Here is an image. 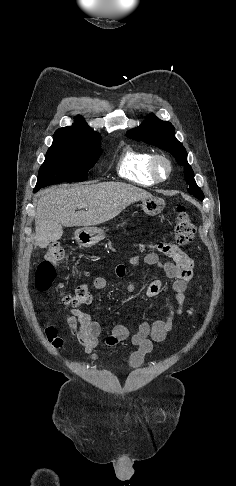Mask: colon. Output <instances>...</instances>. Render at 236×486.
<instances>
[{"label": "colon", "mask_w": 236, "mask_h": 486, "mask_svg": "<svg viewBox=\"0 0 236 486\" xmlns=\"http://www.w3.org/2000/svg\"><path fill=\"white\" fill-rule=\"evenodd\" d=\"M195 235V225L190 215L185 211L183 206L178 207V215L174 227V242L177 245H186L190 243ZM66 257V252L60 244L53 243L48 246L45 252L44 260L40 262L36 272V287L40 291L48 290L56 276L57 264L63 261ZM91 293L87 285H79L74 294H65L62 297V302L70 307H79L89 304L91 302ZM46 334L50 341L55 346L61 344V340L57 337L56 329L49 327Z\"/></svg>", "instance_id": "5ec220e1"}]
</instances>
